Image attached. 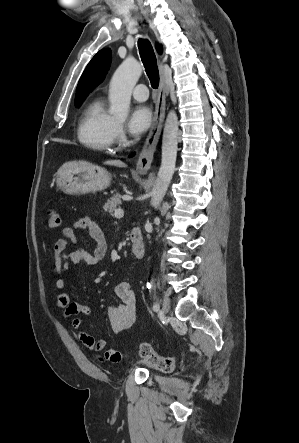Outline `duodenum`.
<instances>
[{
  "instance_id": "duodenum-1",
  "label": "duodenum",
  "mask_w": 299,
  "mask_h": 443,
  "mask_svg": "<svg viewBox=\"0 0 299 443\" xmlns=\"http://www.w3.org/2000/svg\"><path fill=\"white\" fill-rule=\"evenodd\" d=\"M131 240V254L134 258L139 259L144 254V244L141 231L138 228H133L130 231Z\"/></svg>"
}]
</instances>
